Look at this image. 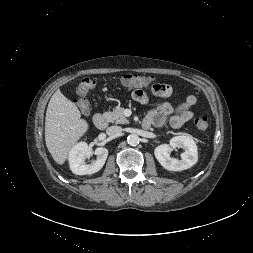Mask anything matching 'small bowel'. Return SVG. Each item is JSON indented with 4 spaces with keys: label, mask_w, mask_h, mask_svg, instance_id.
Here are the masks:
<instances>
[{
    "label": "small bowel",
    "mask_w": 253,
    "mask_h": 253,
    "mask_svg": "<svg viewBox=\"0 0 253 253\" xmlns=\"http://www.w3.org/2000/svg\"><path fill=\"white\" fill-rule=\"evenodd\" d=\"M150 91L153 96L163 99L169 98L173 93L170 85L162 83L153 84ZM132 98L134 101L141 104L148 102L147 93L140 88L133 91ZM196 102V97L193 95L187 96L185 100L177 106L169 102H163L148 112L144 123H147L149 126L154 125L160 127L164 125L166 121H169L173 128H179L193 118L194 113L192 109L196 105Z\"/></svg>",
    "instance_id": "1"
}]
</instances>
